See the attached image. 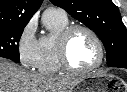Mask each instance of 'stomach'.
Returning <instances> with one entry per match:
<instances>
[{
	"label": "stomach",
	"instance_id": "obj_1",
	"mask_svg": "<svg viewBox=\"0 0 127 92\" xmlns=\"http://www.w3.org/2000/svg\"><path fill=\"white\" fill-rule=\"evenodd\" d=\"M111 76L102 73H92L84 76L73 92H110Z\"/></svg>",
	"mask_w": 127,
	"mask_h": 92
}]
</instances>
